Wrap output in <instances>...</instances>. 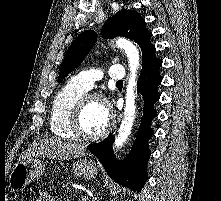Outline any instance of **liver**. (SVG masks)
Wrapping results in <instances>:
<instances>
[{"label": "liver", "instance_id": "1", "mask_svg": "<svg viewBox=\"0 0 221 201\" xmlns=\"http://www.w3.org/2000/svg\"><path fill=\"white\" fill-rule=\"evenodd\" d=\"M85 147L77 143L63 142L60 139L42 140L33 144L22 154V159L48 157L51 159L67 160L79 156L88 155Z\"/></svg>", "mask_w": 221, "mask_h": 201}]
</instances>
